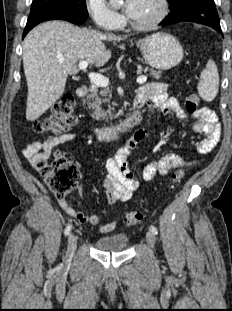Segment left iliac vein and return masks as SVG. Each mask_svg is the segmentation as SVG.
I'll return each mask as SVG.
<instances>
[{
    "label": "left iliac vein",
    "mask_w": 232,
    "mask_h": 311,
    "mask_svg": "<svg viewBox=\"0 0 232 311\" xmlns=\"http://www.w3.org/2000/svg\"><path fill=\"white\" fill-rule=\"evenodd\" d=\"M146 241L149 247L154 248L156 242L155 234L152 232H147Z\"/></svg>",
    "instance_id": "left-iliac-vein-1"
}]
</instances>
